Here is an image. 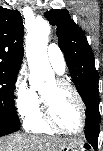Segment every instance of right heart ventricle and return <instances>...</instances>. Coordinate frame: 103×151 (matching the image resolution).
I'll return each mask as SVG.
<instances>
[{"label":"right heart ventricle","mask_w":103,"mask_h":151,"mask_svg":"<svg viewBox=\"0 0 103 151\" xmlns=\"http://www.w3.org/2000/svg\"><path fill=\"white\" fill-rule=\"evenodd\" d=\"M25 127L27 130L39 134H48L53 132L46 126L42 119L40 103L33 112V114L27 119H25Z\"/></svg>","instance_id":"e07e8e85"}]
</instances>
